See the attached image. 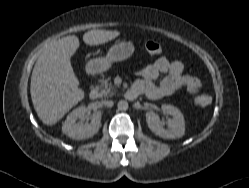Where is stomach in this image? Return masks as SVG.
I'll return each instance as SVG.
<instances>
[{
  "instance_id": "obj_1",
  "label": "stomach",
  "mask_w": 249,
  "mask_h": 188,
  "mask_svg": "<svg viewBox=\"0 0 249 188\" xmlns=\"http://www.w3.org/2000/svg\"><path fill=\"white\" fill-rule=\"evenodd\" d=\"M134 52L133 43L120 41L111 46L105 57L92 59L87 64L90 73L98 74L108 70L113 63L128 59Z\"/></svg>"
}]
</instances>
